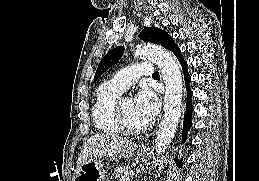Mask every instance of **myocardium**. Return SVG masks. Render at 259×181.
<instances>
[{"label":"myocardium","mask_w":259,"mask_h":181,"mask_svg":"<svg viewBox=\"0 0 259 181\" xmlns=\"http://www.w3.org/2000/svg\"><path fill=\"white\" fill-rule=\"evenodd\" d=\"M117 116H118V121L119 124L122 128L123 131H125L126 133H130V134H138L141 132L146 131L150 124L146 123L144 125H133L129 122V120L127 119V116L122 108V105L119 103L117 104Z\"/></svg>","instance_id":"1"}]
</instances>
